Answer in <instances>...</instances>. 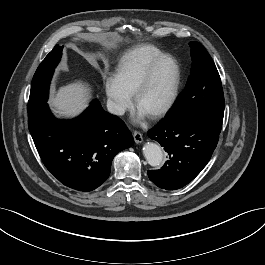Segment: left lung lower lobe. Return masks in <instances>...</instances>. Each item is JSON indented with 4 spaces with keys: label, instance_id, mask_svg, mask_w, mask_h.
<instances>
[{
    "label": "left lung lower lobe",
    "instance_id": "0a47b994",
    "mask_svg": "<svg viewBox=\"0 0 265 265\" xmlns=\"http://www.w3.org/2000/svg\"><path fill=\"white\" fill-rule=\"evenodd\" d=\"M220 131L193 116L167 117L148 131L169 155L159 170L148 171L149 179L167 190L182 188L206 166L217 146Z\"/></svg>",
    "mask_w": 265,
    "mask_h": 265
}]
</instances>
